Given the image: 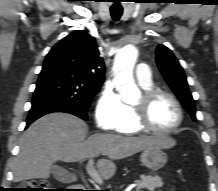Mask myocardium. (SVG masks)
<instances>
[{
  "label": "myocardium",
  "instance_id": "1",
  "mask_svg": "<svg viewBox=\"0 0 218 191\" xmlns=\"http://www.w3.org/2000/svg\"><path fill=\"white\" fill-rule=\"evenodd\" d=\"M158 97L168 98L175 105L177 109L178 121L171 128H167V129L156 128L151 122L149 116V110L154 100ZM133 109L135 113L136 123L144 131H149L157 134H171L177 131L183 124L184 112L181 103L174 95L161 89L152 88V89L145 90L142 95L141 102L139 104H135L133 106Z\"/></svg>",
  "mask_w": 218,
  "mask_h": 191
}]
</instances>
